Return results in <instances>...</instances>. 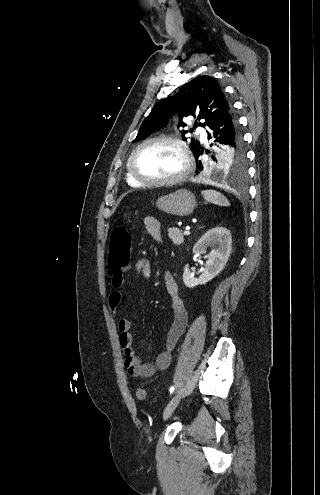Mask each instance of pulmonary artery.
Here are the masks:
<instances>
[{"label": "pulmonary artery", "instance_id": "pulmonary-artery-1", "mask_svg": "<svg viewBox=\"0 0 320 495\" xmlns=\"http://www.w3.org/2000/svg\"><path fill=\"white\" fill-rule=\"evenodd\" d=\"M201 139H202V141L206 142V141H207V137H206V135H205V134H202V135H201Z\"/></svg>", "mask_w": 320, "mask_h": 495}]
</instances>
